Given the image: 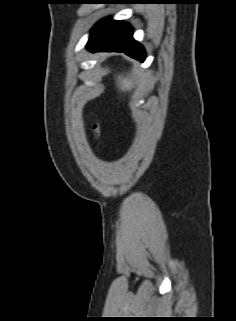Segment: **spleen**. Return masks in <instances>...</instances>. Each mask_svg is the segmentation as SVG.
I'll return each mask as SVG.
<instances>
[{
  "label": "spleen",
  "mask_w": 236,
  "mask_h": 321,
  "mask_svg": "<svg viewBox=\"0 0 236 321\" xmlns=\"http://www.w3.org/2000/svg\"><path fill=\"white\" fill-rule=\"evenodd\" d=\"M118 80L122 90H129L131 88V82L127 78L119 77Z\"/></svg>",
  "instance_id": "spleen-1"
}]
</instances>
